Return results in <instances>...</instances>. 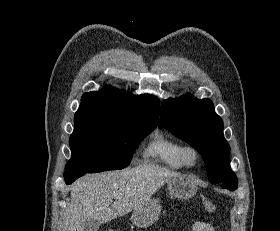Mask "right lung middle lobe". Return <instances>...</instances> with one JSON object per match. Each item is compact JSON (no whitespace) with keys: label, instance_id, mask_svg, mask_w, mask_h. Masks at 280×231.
Here are the masks:
<instances>
[{"label":"right lung middle lobe","instance_id":"right-lung-middle-lobe-1","mask_svg":"<svg viewBox=\"0 0 280 231\" xmlns=\"http://www.w3.org/2000/svg\"><path fill=\"white\" fill-rule=\"evenodd\" d=\"M155 126L112 118L74 119L71 159L65 172L96 173L127 167L138 144Z\"/></svg>","mask_w":280,"mask_h":231}]
</instances>
